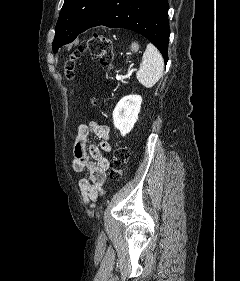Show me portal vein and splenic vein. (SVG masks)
Masks as SVG:
<instances>
[{
	"mask_svg": "<svg viewBox=\"0 0 240 281\" xmlns=\"http://www.w3.org/2000/svg\"><path fill=\"white\" fill-rule=\"evenodd\" d=\"M136 69H132L131 71H129L127 74L122 75V76H116V80H123V79H127L130 78V76L132 75L133 72H135Z\"/></svg>",
	"mask_w": 240,
	"mask_h": 281,
	"instance_id": "1",
	"label": "portal vein and splenic vein"
}]
</instances>
